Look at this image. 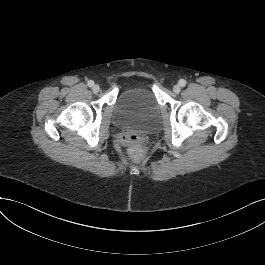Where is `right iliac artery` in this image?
Instances as JSON below:
<instances>
[{"mask_svg":"<svg viewBox=\"0 0 265 265\" xmlns=\"http://www.w3.org/2000/svg\"><path fill=\"white\" fill-rule=\"evenodd\" d=\"M93 85H94V82H93L92 80H89V81H88V86H89V87H92Z\"/></svg>","mask_w":265,"mask_h":265,"instance_id":"82829eb1","label":"right iliac artery"}]
</instances>
